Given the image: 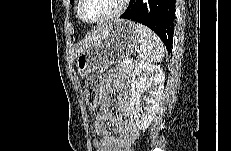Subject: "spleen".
<instances>
[{"label": "spleen", "instance_id": "spleen-1", "mask_svg": "<svg viewBox=\"0 0 231 151\" xmlns=\"http://www.w3.org/2000/svg\"><path fill=\"white\" fill-rule=\"evenodd\" d=\"M140 62L157 63L164 57V46L160 38L148 27L137 23L135 25Z\"/></svg>", "mask_w": 231, "mask_h": 151}]
</instances>
